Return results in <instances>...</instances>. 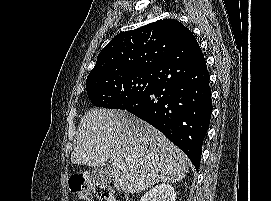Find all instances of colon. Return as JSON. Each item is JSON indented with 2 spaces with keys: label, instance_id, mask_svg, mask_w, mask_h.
I'll return each instance as SVG.
<instances>
[{
  "label": "colon",
  "instance_id": "1",
  "mask_svg": "<svg viewBox=\"0 0 271 201\" xmlns=\"http://www.w3.org/2000/svg\"><path fill=\"white\" fill-rule=\"evenodd\" d=\"M69 186L80 201H92L93 195L102 201H118L111 186L92 177L74 178Z\"/></svg>",
  "mask_w": 271,
  "mask_h": 201
}]
</instances>
